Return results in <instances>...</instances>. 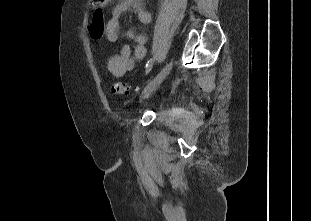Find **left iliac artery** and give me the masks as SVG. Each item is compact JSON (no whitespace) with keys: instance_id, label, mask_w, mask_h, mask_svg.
<instances>
[{"instance_id":"left-iliac-artery-1","label":"left iliac artery","mask_w":311,"mask_h":221,"mask_svg":"<svg viewBox=\"0 0 311 221\" xmlns=\"http://www.w3.org/2000/svg\"><path fill=\"white\" fill-rule=\"evenodd\" d=\"M153 63H154V60L153 59H150L147 64H146V69H145V72L146 74L149 73V71L151 70L152 66H153Z\"/></svg>"}]
</instances>
